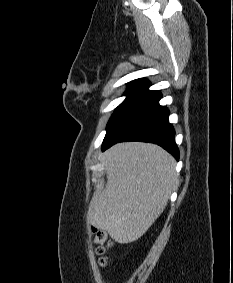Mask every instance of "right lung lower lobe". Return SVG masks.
<instances>
[{"label": "right lung lower lobe", "instance_id": "98d812e1", "mask_svg": "<svg viewBox=\"0 0 233 283\" xmlns=\"http://www.w3.org/2000/svg\"><path fill=\"white\" fill-rule=\"evenodd\" d=\"M160 99V92L146 89L103 141L102 151L123 141L151 142L160 145L178 160L179 150L174 128L168 120L169 110L159 105Z\"/></svg>", "mask_w": 233, "mask_h": 283}]
</instances>
